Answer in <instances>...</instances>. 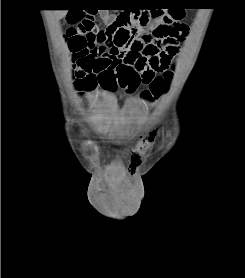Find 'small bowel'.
Here are the masks:
<instances>
[{"label":"small bowel","mask_w":245,"mask_h":278,"mask_svg":"<svg viewBox=\"0 0 245 278\" xmlns=\"http://www.w3.org/2000/svg\"><path fill=\"white\" fill-rule=\"evenodd\" d=\"M101 17L106 24L115 20L116 16L109 11H102ZM170 15L164 16V19H170ZM176 28L184 35L189 34V27L185 23L176 22ZM78 35L81 39H86L89 35L88 31H79ZM96 48L103 49V56L91 57L83 52L74 61V67L83 70L87 65L91 69L85 74L88 77L90 86L87 88L90 92L97 90L107 93H113L119 88V80L121 77H129L137 75L142 77L146 73L157 74L166 72L170 68V62L176 52L166 50L160 54H150L147 48H141L135 52L126 48H116L111 46L96 45Z\"/></svg>","instance_id":"1"}]
</instances>
